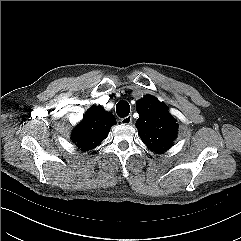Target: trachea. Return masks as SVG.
I'll list each match as a JSON object with an SVG mask.
<instances>
[{"instance_id":"trachea-1","label":"trachea","mask_w":241,"mask_h":241,"mask_svg":"<svg viewBox=\"0 0 241 241\" xmlns=\"http://www.w3.org/2000/svg\"><path fill=\"white\" fill-rule=\"evenodd\" d=\"M117 115L121 118H124L130 113V105L127 101H119L116 105Z\"/></svg>"}]
</instances>
